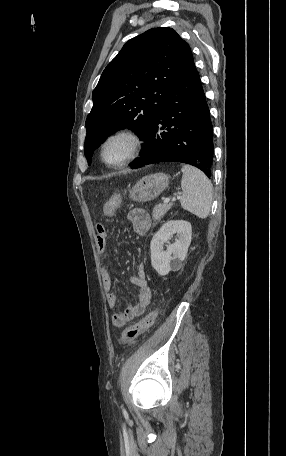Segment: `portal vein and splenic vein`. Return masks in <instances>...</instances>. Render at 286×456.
Returning <instances> with one entry per match:
<instances>
[{"mask_svg":"<svg viewBox=\"0 0 286 456\" xmlns=\"http://www.w3.org/2000/svg\"><path fill=\"white\" fill-rule=\"evenodd\" d=\"M169 202H170V199H169V198H165V199H164V203H165V204H167V203H169Z\"/></svg>","mask_w":286,"mask_h":456,"instance_id":"obj_1","label":"portal vein and splenic vein"}]
</instances>
